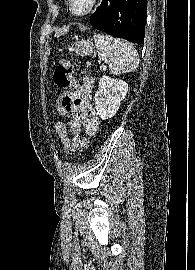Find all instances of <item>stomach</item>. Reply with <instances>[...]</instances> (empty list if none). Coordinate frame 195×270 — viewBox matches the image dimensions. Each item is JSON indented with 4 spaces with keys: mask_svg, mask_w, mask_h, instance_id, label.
Returning <instances> with one entry per match:
<instances>
[{
    "mask_svg": "<svg viewBox=\"0 0 195 270\" xmlns=\"http://www.w3.org/2000/svg\"><path fill=\"white\" fill-rule=\"evenodd\" d=\"M77 55L82 57L93 53V43L89 40H79L75 42L74 47L71 48Z\"/></svg>",
    "mask_w": 195,
    "mask_h": 270,
    "instance_id": "stomach-1",
    "label": "stomach"
}]
</instances>
